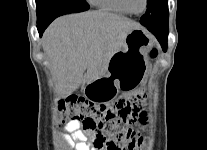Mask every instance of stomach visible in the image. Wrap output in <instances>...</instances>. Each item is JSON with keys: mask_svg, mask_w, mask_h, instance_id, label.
<instances>
[{"mask_svg": "<svg viewBox=\"0 0 207 150\" xmlns=\"http://www.w3.org/2000/svg\"><path fill=\"white\" fill-rule=\"evenodd\" d=\"M152 43V37L145 30H131L122 48L112 56L107 74L88 83L85 96L95 101H109L120 89H132L140 84L147 73V53Z\"/></svg>", "mask_w": 207, "mask_h": 150, "instance_id": "1", "label": "stomach"}]
</instances>
